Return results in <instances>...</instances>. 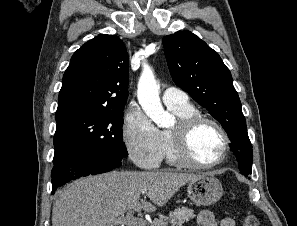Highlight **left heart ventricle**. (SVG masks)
Listing matches in <instances>:
<instances>
[{"instance_id":"left-heart-ventricle-1","label":"left heart ventricle","mask_w":297,"mask_h":226,"mask_svg":"<svg viewBox=\"0 0 297 226\" xmlns=\"http://www.w3.org/2000/svg\"><path fill=\"white\" fill-rule=\"evenodd\" d=\"M224 139L211 124L199 125L191 134L189 146L192 156L200 163H211L219 158Z\"/></svg>"}]
</instances>
